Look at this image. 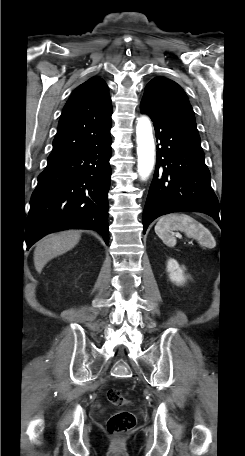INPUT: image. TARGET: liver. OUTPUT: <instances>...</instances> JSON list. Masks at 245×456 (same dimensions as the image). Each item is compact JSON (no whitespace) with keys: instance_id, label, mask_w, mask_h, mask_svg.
<instances>
[{"instance_id":"6515ba94","label":"liver","mask_w":245,"mask_h":456,"mask_svg":"<svg viewBox=\"0 0 245 456\" xmlns=\"http://www.w3.org/2000/svg\"><path fill=\"white\" fill-rule=\"evenodd\" d=\"M80 232L76 230L62 231L45 237L37 243L34 250V265L38 273L53 258L74 248L80 240Z\"/></svg>"}]
</instances>
